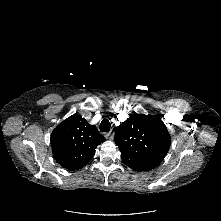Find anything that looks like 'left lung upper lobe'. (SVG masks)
I'll use <instances>...</instances> for the list:
<instances>
[{
  "label": "left lung upper lobe",
  "mask_w": 221,
  "mask_h": 221,
  "mask_svg": "<svg viewBox=\"0 0 221 221\" xmlns=\"http://www.w3.org/2000/svg\"><path fill=\"white\" fill-rule=\"evenodd\" d=\"M161 116L131 114L115 131L123 162L135 171H149L167 154L171 138Z\"/></svg>",
  "instance_id": "5c2ea615"
}]
</instances>
